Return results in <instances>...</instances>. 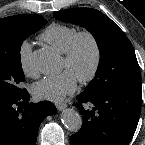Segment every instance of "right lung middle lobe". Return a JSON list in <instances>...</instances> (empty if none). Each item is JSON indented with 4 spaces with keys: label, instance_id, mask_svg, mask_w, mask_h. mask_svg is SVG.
Listing matches in <instances>:
<instances>
[{
    "label": "right lung middle lobe",
    "instance_id": "dd1d6c3e",
    "mask_svg": "<svg viewBox=\"0 0 145 145\" xmlns=\"http://www.w3.org/2000/svg\"><path fill=\"white\" fill-rule=\"evenodd\" d=\"M47 23L41 15H18L0 31V97H16L26 89L20 50L23 41Z\"/></svg>",
    "mask_w": 145,
    "mask_h": 145
}]
</instances>
